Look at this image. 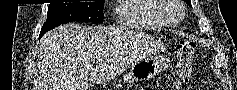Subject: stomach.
<instances>
[{"mask_svg": "<svg viewBox=\"0 0 237 90\" xmlns=\"http://www.w3.org/2000/svg\"><path fill=\"white\" fill-rule=\"evenodd\" d=\"M168 61L164 57L146 59L133 65L123 76L126 83L149 81L167 67Z\"/></svg>", "mask_w": 237, "mask_h": 90, "instance_id": "0dacf381", "label": "stomach"}]
</instances>
